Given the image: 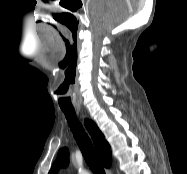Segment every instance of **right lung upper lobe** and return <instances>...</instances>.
<instances>
[{
	"mask_svg": "<svg viewBox=\"0 0 187 174\" xmlns=\"http://www.w3.org/2000/svg\"><path fill=\"white\" fill-rule=\"evenodd\" d=\"M86 127L93 139L95 149L99 155V158L103 165L105 167L111 166V150L107 143V141L104 139L103 134L100 132V130L97 128V126L91 122L86 120L85 122Z\"/></svg>",
	"mask_w": 187,
	"mask_h": 174,
	"instance_id": "right-lung-upper-lobe-1",
	"label": "right lung upper lobe"
}]
</instances>
